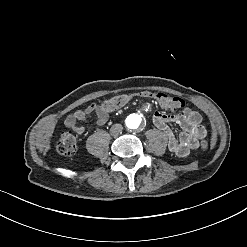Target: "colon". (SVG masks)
I'll list each match as a JSON object with an SVG mask.
<instances>
[{
    "mask_svg": "<svg viewBox=\"0 0 247 247\" xmlns=\"http://www.w3.org/2000/svg\"><path fill=\"white\" fill-rule=\"evenodd\" d=\"M142 95L145 97H151L154 101H161L160 107L162 109H174L179 111L183 107V103L175 98H170L168 92H154L151 88H144ZM136 96H141L139 92H117L115 96H111L106 101L105 106L107 109H121L123 105H126L128 101H134ZM201 150L207 154L210 152V145L206 141H202ZM54 149L62 156L72 157L76 153L77 138L68 132H63L54 141Z\"/></svg>",
    "mask_w": 247,
    "mask_h": 247,
    "instance_id": "colon-1",
    "label": "colon"
}]
</instances>
